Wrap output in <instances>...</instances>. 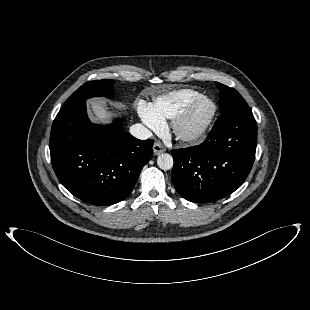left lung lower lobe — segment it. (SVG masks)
I'll return each mask as SVG.
<instances>
[{"mask_svg":"<svg viewBox=\"0 0 310 310\" xmlns=\"http://www.w3.org/2000/svg\"><path fill=\"white\" fill-rule=\"evenodd\" d=\"M257 130L250 109L216 121L206 140L173 149L171 179L177 192L194 203H209L238 189L255 159Z\"/></svg>","mask_w":310,"mask_h":310,"instance_id":"1","label":"left lung lower lobe"}]
</instances>
